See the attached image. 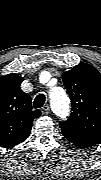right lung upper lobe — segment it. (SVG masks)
Segmentation results:
<instances>
[{"instance_id": "cb5924a9", "label": "right lung upper lobe", "mask_w": 101, "mask_h": 180, "mask_svg": "<svg viewBox=\"0 0 101 180\" xmlns=\"http://www.w3.org/2000/svg\"><path fill=\"white\" fill-rule=\"evenodd\" d=\"M24 78L11 73L0 78V146L8 148L24 141L32 122L41 115L32 109L31 97L20 85Z\"/></svg>"}]
</instances>
